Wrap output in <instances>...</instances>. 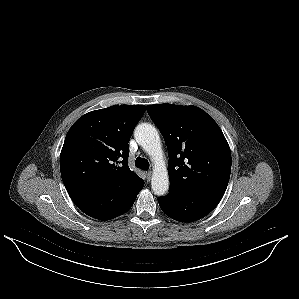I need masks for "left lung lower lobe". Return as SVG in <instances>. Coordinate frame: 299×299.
I'll return each mask as SVG.
<instances>
[{
	"instance_id": "0a47b994",
	"label": "left lung lower lobe",
	"mask_w": 299,
	"mask_h": 299,
	"mask_svg": "<svg viewBox=\"0 0 299 299\" xmlns=\"http://www.w3.org/2000/svg\"><path fill=\"white\" fill-rule=\"evenodd\" d=\"M223 195L200 191H169L159 197L162 211L180 222H193L208 215L220 202Z\"/></svg>"
}]
</instances>
